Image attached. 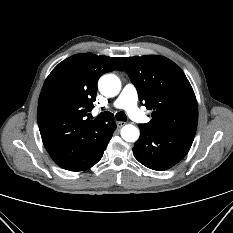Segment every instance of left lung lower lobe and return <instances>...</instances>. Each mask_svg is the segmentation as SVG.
<instances>
[{"mask_svg": "<svg viewBox=\"0 0 233 233\" xmlns=\"http://www.w3.org/2000/svg\"><path fill=\"white\" fill-rule=\"evenodd\" d=\"M140 137L134 144L135 158L144 166L163 171L171 168L188 153L193 136L157 131L139 124Z\"/></svg>", "mask_w": 233, "mask_h": 233, "instance_id": "1", "label": "left lung lower lobe"}]
</instances>
